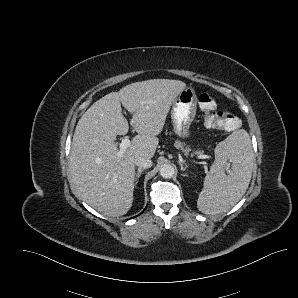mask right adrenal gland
<instances>
[{"label":"right adrenal gland","mask_w":298,"mask_h":298,"mask_svg":"<svg viewBox=\"0 0 298 298\" xmlns=\"http://www.w3.org/2000/svg\"><path fill=\"white\" fill-rule=\"evenodd\" d=\"M145 170V168H138L136 174H135V178H134V181H136L135 185L137 184V180L140 178L141 176V173Z\"/></svg>","instance_id":"obj_1"}]
</instances>
